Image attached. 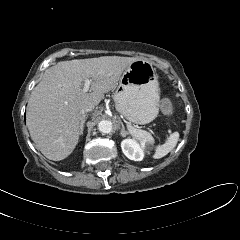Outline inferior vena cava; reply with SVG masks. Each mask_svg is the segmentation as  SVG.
I'll use <instances>...</instances> for the list:
<instances>
[{"mask_svg": "<svg viewBox=\"0 0 240 240\" xmlns=\"http://www.w3.org/2000/svg\"><path fill=\"white\" fill-rule=\"evenodd\" d=\"M93 109L91 107H84L81 109L80 113L82 114V116L87 113V112H90L92 111Z\"/></svg>", "mask_w": 240, "mask_h": 240, "instance_id": "inferior-vena-cava-1", "label": "inferior vena cava"}]
</instances>
